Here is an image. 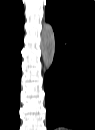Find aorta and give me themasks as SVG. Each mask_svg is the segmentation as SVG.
<instances>
[{
	"instance_id": "1",
	"label": "aorta",
	"mask_w": 95,
	"mask_h": 130,
	"mask_svg": "<svg viewBox=\"0 0 95 130\" xmlns=\"http://www.w3.org/2000/svg\"><path fill=\"white\" fill-rule=\"evenodd\" d=\"M41 51L44 67L48 70L52 66L55 56V34L52 25L49 23L43 24Z\"/></svg>"
}]
</instances>
